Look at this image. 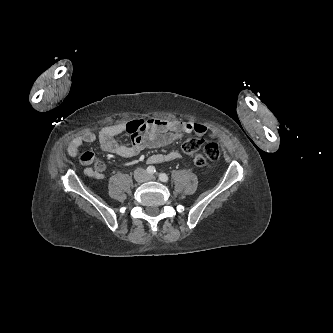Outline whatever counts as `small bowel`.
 Returning <instances> with one entry per match:
<instances>
[{
	"label": "small bowel",
	"mask_w": 333,
	"mask_h": 333,
	"mask_svg": "<svg viewBox=\"0 0 333 333\" xmlns=\"http://www.w3.org/2000/svg\"><path fill=\"white\" fill-rule=\"evenodd\" d=\"M124 132L132 136L131 145H122L117 142L116 136ZM188 132L207 135L208 129L201 123L182 120L134 119L127 123L104 127L98 135L94 132H86L69 144L67 152L72 157L78 156L82 146L98 141L103 150L121 158H131L139 154L143 148L165 146ZM180 157V153L173 150L164 154H154L149 157V162L159 164L178 160ZM94 160V155L91 152H84L80 156V161L85 166L86 176L101 180L104 178V169L100 164L93 165Z\"/></svg>",
	"instance_id": "c3829d8e"
}]
</instances>
